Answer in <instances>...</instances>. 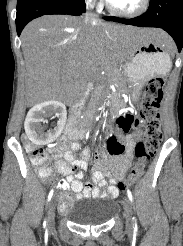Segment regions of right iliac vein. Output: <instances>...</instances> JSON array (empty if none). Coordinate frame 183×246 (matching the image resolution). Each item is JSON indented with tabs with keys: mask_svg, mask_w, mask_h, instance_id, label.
I'll list each match as a JSON object with an SVG mask.
<instances>
[{
	"mask_svg": "<svg viewBox=\"0 0 183 246\" xmlns=\"http://www.w3.org/2000/svg\"><path fill=\"white\" fill-rule=\"evenodd\" d=\"M54 220H55V201L54 198L50 201L48 206V227H54Z\"/></svg>",
	"mask_w": 183,
	"mask_h": 246,
	"instance_id": "obj_1",
	"label": "right iliac vein"
}]
</instances>
